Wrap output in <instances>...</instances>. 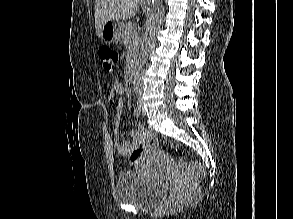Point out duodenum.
<instances>
[{
	"instance_id": "duodenum-1",
	"label": "duodenum",
	"mask_w": 293,
	"mask_h": 219,
	"mask_svg": "<svg viewBox=\"0 0 293 219\" xmlns=\"http://www.w3.org/2000/svg\"><path fill=\"white\" fill-rule=\"evenodd\" d=\"M128 80L131 84H135L136 82V68L134 65H131L128 70Z\"/></svg>"
}]
</instances>
